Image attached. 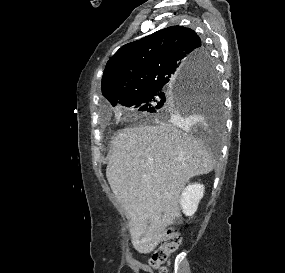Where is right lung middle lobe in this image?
Wrapping results in <instances>:
<instances>
[{"label":"right lung middle lobe","mask_w":285,"mask_h":273,"mask_svg":"<svg viewBox=\"0 0 285 273\" xmlns=\"http://www.w3.org/2000/svg\"><path fill=\"white\" fill-rule=\"evenodd\" d=\"M206 64L199 73L189 74L178 83L159 85L143 91L119 104L134 106L159 118H179L192 113L204 112L214 121L216 132L223 126V98L221 83L216 70L205 52ZM117 104H113L115 106Z\"/></svg>","instance_id":"dd1d6c3e"}]
</instances>
